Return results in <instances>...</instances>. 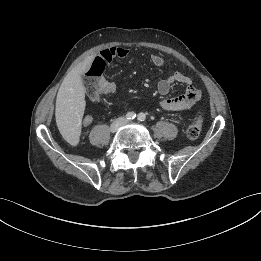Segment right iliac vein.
<instances>
[{
  "mask_svg": "<svg viewBox=\"0 0 261 261\" xmlns=\"http://www.w3.org/2000/svg\"><path fill=\"white\" fill-rule=\"evenodd\" d=\"M125 124V120L123 118H119L117 120H115L111 126H110V131L112 133L116 132L122 125Z\"/></svg>",
  "mask_w": 261,
  "mask_h": 261,
  "instance_id": "1",
  "label": "right iliac vein"
}]
</instances>
